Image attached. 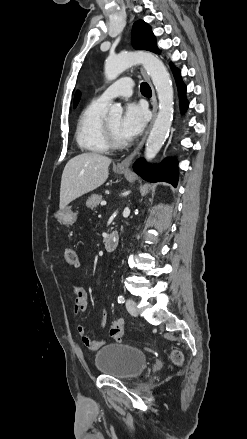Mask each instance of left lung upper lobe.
Wrapping results in <instances>:
<instances>
[{
  "label": "left lung upper lobe",
  "mask_w": 247,
  "mask_h": 439,
  "mask_svg": "<svg viewBox=\"0 0 247 439\" xmlns=\"http://www.w3.org/2000/svg\"><path fill=\"white\" fill-rule=\"evenodd\" d=\"M132 44L135 49L160 53L151 27L142 20L133 25Z\"/></svg>",
  "instance_id": "1"
}]
</instances>
